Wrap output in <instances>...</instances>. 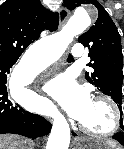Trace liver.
Wrapping results in <instances>:
<instances>
[{
	"instance_id": "obj_1",
	"label": "liver",
	"mask_w": 124,
	"mask_h": 149,
	"mask_svg": "<svg viewBox=\"0 0 124 149\" xmlns=\"http://www.w3.org/2000/svg\"><path fill=\"white\" fill-rule=\"evenodd\" d=\"M28 140L16 135H0V149H26Z\"/></svg>"
}]
</instances>
